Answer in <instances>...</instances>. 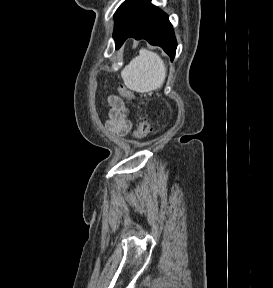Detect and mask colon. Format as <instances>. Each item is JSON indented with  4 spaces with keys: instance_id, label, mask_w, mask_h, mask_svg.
Masks as SVG:
<instances>
[{
    "instance_id": "colon-1",
    "label": "colon",
    "mask_w": 273,
    "mask_h": 288,
    "mask_svg": "<svg viewBox=\"0 0 273 288\" xmlns=\"http://www.w3.org/2000/svg\"><path fill=\"white\" fill-rule=\"evenodd\" d=\"M118 91L122 97L128 100H132L134 98L133 92L123 85L119 86ZM150 131H151V126H150L149 121L146 119H143L136 126V129L134 131V137L137 139H143L149 135Z\"/></svg>"
}]
</instances>
